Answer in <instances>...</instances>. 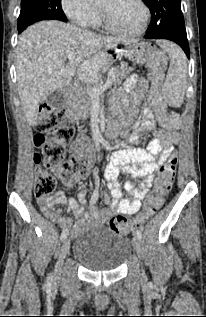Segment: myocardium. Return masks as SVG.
Segmentation results:
<instances>
[{
  "label": "myocardium",
  "instance_id": "1",
  "mask_svg": "<svg viewBox=\"0 0 206 317\" xmlns=\"http://www.w3.org/2000/svg\"><path fill=\"white\" fill-rule=\"evenodd\" d=\"M135 1L141 6V8L144 11V20H143L141 27L138 30L133 31V32H125V31H121L118 28H116L112 24L106 10L104 8L100 7L102 20H103V23L108 31H110L111 33H113L115 35L121 36V37L132 38V37H138V36L142 35L147 30L149 23H150V19H151L150 8L148 7V5L146 4V2L144 0H135Z\"/></svg>",
  "mask_w": 206,
  "mask_h": 317
}]
</instances>
